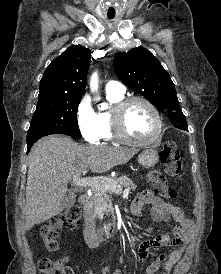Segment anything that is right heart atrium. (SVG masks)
<instances>
[{
  "instance_id": "obj_1",
  "label": "right heart atrium",
  "mask_w": 221,
  "mask_h": 274,
  "mask_svg": "<svg viewBox=\"0 0 221 274\" xmlns=\"http://www.w3.org/2000/svg\"><path fill=\"white\" fill-rule=\"evenodd\" d=\"M76 118L83 138L89 143H97L101 139V125L89 97L84 96L78 103Z\"/></svg>"
}]
</instances>
